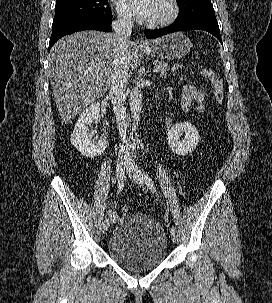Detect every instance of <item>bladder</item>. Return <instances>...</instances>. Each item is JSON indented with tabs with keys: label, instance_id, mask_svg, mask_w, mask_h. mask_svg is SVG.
Here are the masks:
<instances>
[{
	"label": "bladder",
	"instance_id": "31cf9c89",
	"mask_svg": "<svg viewBox=\"0 0 272 303\" xmlns=\"http://www.w3.org/2000/svg\"><path fill=\"white\" fill-rule=\"evenodd\" d=\"M107 254L125 269L135 272L151 270L167 257V236L153 217L129 213L116 223L109 236Z\"/></svg>",
	"mask_w": 272,
	"mask_h": 303
}]
</instances>
